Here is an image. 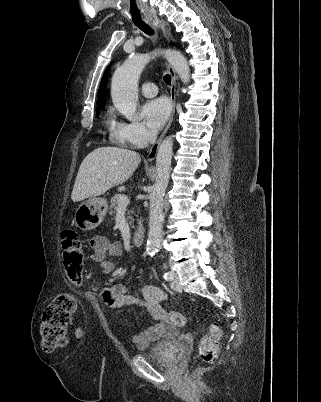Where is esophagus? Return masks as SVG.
I'll return each instance as SVG.
<instances>
[{"label": "esophagus", "mask_w": 321, "mask_h": 402, "mask_svg": "<svg viewBox=\"0 0 321 402\" xmlns=\"http://www.w3.org/2000/svg\"><path fill=\"white\" fill-rule=\"evenodd\" d=\"M157 24H158V27L161 29V31H162L164 37L166 38V40L168 42L171 41L172 40V32H171V27H170L169 23L166 22L163 19H157ZM168 70H169V73H170L171 78H172L171 87H170V100H171V103H172V111H171L169 121H168L164 131L162 132V134L160 135L158 140L154 143V145L151 147V149H150V151H149V153L147 155V160L149 162L153 161L154 158L156 157L159 145H160L163 137L167 133L168 129L170 128L171 123H172L173 118H174V114H175V107H176V93L175 92H176V80H177V77H176L175 70H174V68H173V66L171 64L168 65Z\"/></svg>", "instance_id": "esophagus-1"}]
</instances>
